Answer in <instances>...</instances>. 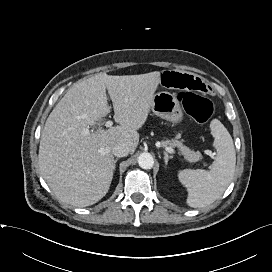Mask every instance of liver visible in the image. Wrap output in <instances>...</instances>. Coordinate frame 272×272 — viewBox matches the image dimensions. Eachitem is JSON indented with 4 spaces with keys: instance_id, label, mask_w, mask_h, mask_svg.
Wrapping results in <instances>:
<instances>
[{
    "instance_id": "liver-1",
    "label": "liver",
    "mask_w": 272,
    "mask_h": 272,
    "mask_svg": "<svg viewBox=\"0 0 272 272\" xmlns=\"http://www.w3.org/2000/svg\"><path fill=\"white\" fill-rule=\"evenodd\" d=\"M160 77L158 71L99 73L75 83L58 102L42 130L38 157L41 174L60 201L86 207L106 195L113 178L112 148L123 143L135 151ZM106 90L119 125L99 126L86 135L84 129L101 125L110 113Z\"/></svg>"
}]
</instances>
